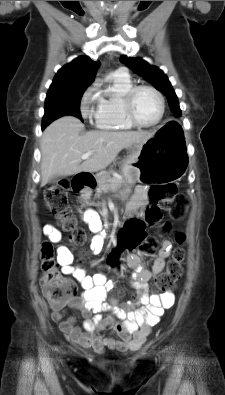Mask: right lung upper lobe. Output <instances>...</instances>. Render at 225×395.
I'll list each match as a JSON object with an SVG mask.
<instances>
[{
	"label": "right lung upper lobe",
	"instance_id": "cb5924a9",
	"mask_svg": "<svg viewBox=\"0 0 225 395\" xmlns=\"http://www.w3.org/2000/svg\"><path fill=\"white\" fill-rule=\"evenodd\" d=\"M98 66V62L79 56L57 72L50 87H88L95 79Z\"/></svg>",
	"mask_w": 225,
	"mask_h": 395
}]
</instances>
